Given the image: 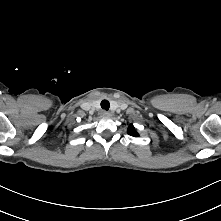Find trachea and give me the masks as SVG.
I'll list each match as a JSON object with an SVG mask.
<instances>
[{"label":"trachea","mask_w":221,"mask_h":221,"mask_svg":"<svg viewBox=\"0 0 221 221\" xmlns=\"http://www.w3.org/2000/svg\"><path fill=\"white\" fill-rule=\"evenodd\" d=\"M101 107H102V109L108 111V110H109V107H110L109 101H107V100H102V102H101Z\"/></svg>","instance_id":"3493384b"}]
</instances>
